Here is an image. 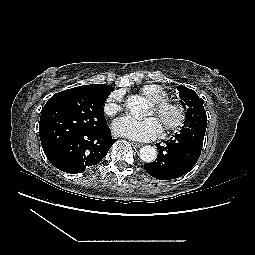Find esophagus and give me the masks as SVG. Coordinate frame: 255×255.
I'll return each instance as SVG.
<instances>
[{"mask_svg": "<svg viewBox=\"0 0 255 255\" xmlns=\"http://www.w3.org/2000/svg\"><path fill=\"white\" fill-rule=\"evenodd\" d=\"M131 143H132V145H134V146L137 147V148L143 146V144H142V143H139V142H134V141H132Z\"/></svg>", "mask_w": 255, "mask_h": 255, "instance_id": "obj_1", "label": "esophagus"}]
</instances>
